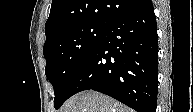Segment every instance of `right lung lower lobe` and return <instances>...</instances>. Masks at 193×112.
<instances>
[{"mask_svg": "<svg viewBox=\"0 0 193 112\" xmlns=\"http://www.w3.org/2000/svg\"><path fill=\"white\" fill-rule=\"evenodd\" d=\"M157 79V23L151 0H144L107 27L75 79L70 97L92 89L137 112H155Z\"/></svg>", "mask_w": 193, "mask_h": 112, "instance_id": "right-lung-lower-lobe-1", "label": "right lung lower lobe"}]
</instances>
